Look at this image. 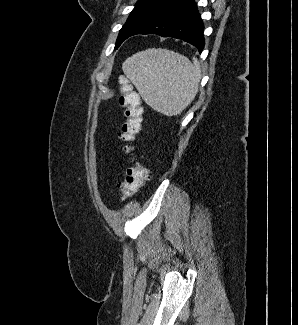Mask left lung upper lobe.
Segmentation results:
<instances>
[{"mask_svg": "<svg viewBox=\"0 0 298 325\" xmlns=\"http://www.w3.org/2000/svg\"><path fill=\"white\" fill-rule=\"evenodd\" d=\"M161 0H139L133 11L131 12L128 20L119 32V36L116 41V48L127 39L130 31L133 27L146 15L148 14Z\"/></svg>", "mask_w": 298, "mask_h": 325, "instance_id": "5c2ea615", "label": "left lung upper lobe"}]
</instances>
